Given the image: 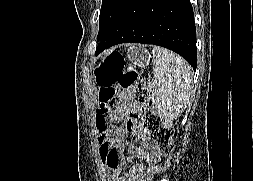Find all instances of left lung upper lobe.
I'll return each instance as SVG.
<instances>
[{
    "label": "left lung upper lobe",
    "instance_id": "left-lung-upper-lobe-1",
    "mask_svg": "<svg viewBox=\"0 0 253 181\" xmlns=\"http://www.w3.org/2000/svg\"><path fill=\"white\" fill-rule=\"evenodd\" d=\"M131 0H103L99 16V33L97 40L107 34L121 16Z\"/></svg>",
    "mask_w": 253,
    "mask_h": 181
}]
</instances>
